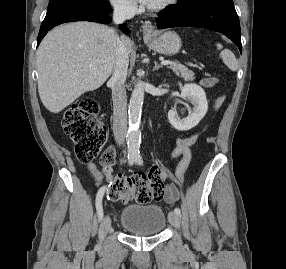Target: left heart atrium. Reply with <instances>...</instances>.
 I'll list each match as a JSON object with an SVG mask.
<instances>
[{
    "label": "left heart atrium",
    "mask_w": 286,
    "mask_h": 269,
    "mask_svg": "<svg viewBox=\"0 0 286 269\" xmlns=\"http://www.w3.org/2000/svg\"><path fill=\"white\" fill-rule=\"evenodd\" d=\"M135 1L142 4V5L149 6V5H151L153 0H135Z\"/></svg>",
    "instance_id": "1"
}]
</instances>
